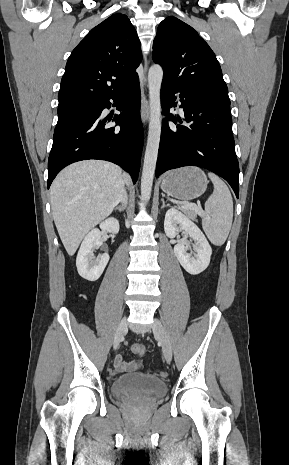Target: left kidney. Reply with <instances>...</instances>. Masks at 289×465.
Masks as SVG:
<instances>
[{"instance_id": "5707ae66", "label": "left kidney", "mask_w": 289, "mask_h": 465, "mask_svg": "<svg viewBox=\"0 0 289 465\" xmlns=\"http://www.w3.org/2000/svg\"><path fill=\"white\" fill-rule=\"evenodd\" d=\"M164 231L169 238H174L177 232L184 231L194 241L191 254L187 253L188 246L183 244L174 246L175 256L189 274H200L208 267L212 248L202 231L186 215L175 208L167 210Z\"/></svg>"}]
</instances>
